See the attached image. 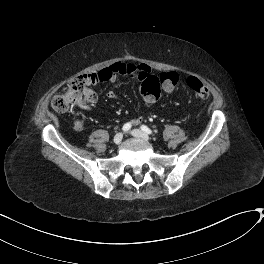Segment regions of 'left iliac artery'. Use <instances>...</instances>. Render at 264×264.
Returning a JSON list of instances; mask_svg holds the SVG:
<instances>
[{"instance_id": "left-iliac-artery-1", "label": "left iliac artery", "mask_w": 264, "mask_h": 264, "mask_svg": "<svg viewBox=\"0 0 264 264\" xmlns=\"http://www.w3.org/2000/svg\"><path fill=\"white\" fill-rule=\"evenodd\" d=\"M141 129L147 134H153V131L145 125H142Z\"/></svg>"}]
</instances>
